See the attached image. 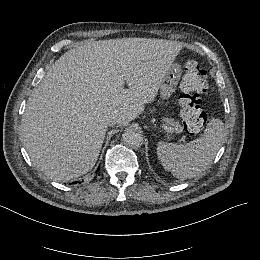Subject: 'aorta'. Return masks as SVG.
<instances>
[{
    "label": "aorta",
    "instance_id": "obj_1",
    "mask_svg": "<svg viewBox=\"0 0 260 260\" xmlns=\"http://www.w3.org/2000/svg\"><path fill=\"white\" fill-rule=\"evenodd\" d=\"M122 141L131 148H138L143 143V135L140 131L130 128L122 134Z\"/></svg>",
    "mask_w": 260,
    "mask_h": 260
}]
</instances>
